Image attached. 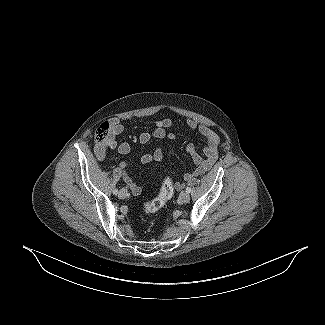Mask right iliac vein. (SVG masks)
Listing matches in <instances>:
<instances>
[{
  "mask_svg": "<svg viewBox=\"0 0 325 325\" xmlns=\"http://www.w3.org/2000/svg\"><path fill=\"white\" fill-rule=\"evenodd\" d=\"M119 198L124 199L127 196V190L126 189H121L118 194Z\"/></svg>",
  "mask_w": 325,
  "mask_h": 325,
  "instance_id": "63e3f726",
  "label": "right iliac vein"
}]
</instances>
